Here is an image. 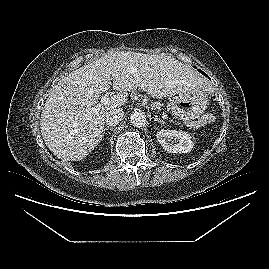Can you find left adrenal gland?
Listing matches in <instances>:
<instances>
[{"label":"left adrenal gland","instance_id":"a2214340","mask_svg":"<svg viewBox=\"0 0 269 269\" xmlns=\"http://www.w3.org/2000/svg\"><path fill=\"white\" fill-rule=\"evenodd\" d=\"M154 121L161 123V124H165V121L162 120L161 118H159L158 116H155Z\"/></svg>","mask_w":269,"mask_h":269}]
</instances>
